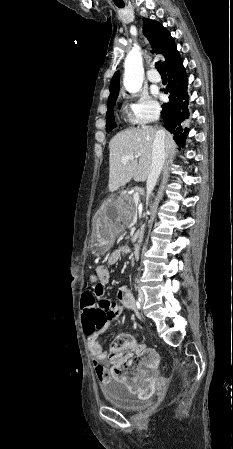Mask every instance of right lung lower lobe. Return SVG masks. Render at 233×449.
Masks as SVG:
<instances>
[{"label":"right lung lower lobe","mask_w":233,"mask_h":449,"mask_svg":"<svg viewBox=\"0 0 233 449\" xmlns=\"http://www.w3.org/2000/svg\"><path fill=\"white\" fill-rule=\"evenodd\" d=\"M168 85L164 89L169 94V102L162 106L161 116L168 131L174 134V140L184 145L188 128L183 127L189 118L187 93L188 79L182 60L167 69Z\"/></svg>","instance_id":"1"}]
</instances>
